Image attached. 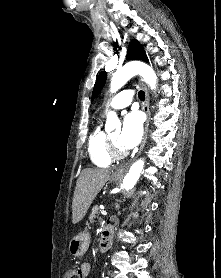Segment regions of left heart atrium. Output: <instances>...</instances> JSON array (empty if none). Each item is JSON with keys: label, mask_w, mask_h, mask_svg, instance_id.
I'll return each instance as SVG.
<instances>
[{"label": "left heart atrium", "mask_w": 221, "mask_h": 278, "mask_svg": "<svg viewBox=\"0 0 221 278\" xmlns=\"http://www.w3.org/2000/svg\"><path fill=\"white\" fill-rule=\"evenodd\" d=\"M142 118L138 112L128 113L123 122V128L118 136V143L124 149L134 148L142 137Z\"/></svg>", "instance_id": "39dd6f15"}]
</instances>
